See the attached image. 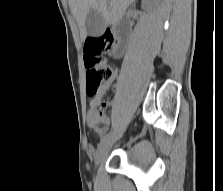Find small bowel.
Segmentation results:
<instances>
[{"mask_svg": "<svg viewBox=\"0 0 223 191\" xmlns=\"http://www.w3.org/2000/svg\"><path fill=\"white\" fill-rule=\"evenodd\" d=\"M117 53L120 54L119 52ZM115 74L116 72L113 71L111 78L104 84L100 93L96 97H94L90 102L91 109L87 115V123H88V126L97 135H100V136H103L108 131L111 120L108 116L98 112L97 106L100 104L102 96L106 94L107 92H109L113 79L115 77Z\"/></svg>", "mask_w": 223, "mask_h": 191, "instance_id": "c3829d8e", "label": "small bowel"}]
</instances>
